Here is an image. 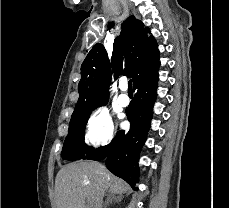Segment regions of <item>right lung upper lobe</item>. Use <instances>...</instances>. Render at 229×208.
<instances>
[{
    "label": "right lung upper lobe",
    "instance_id": "cb5924a9",
    "mask_svg": "<svg viewBox=\"0 0 229 208\" xmlns=\"http://www.w3.org/2000/svg\"><path fill=\"white\" fill-rule=\"evenodd\" d=\"M149 33V28L131 16L122 24V31L114 40L111 63L102 44L91 49L81 66L80 97L71 119L84 117L108 101L111 69L114 78L127 74L135 85L159 67L157 43Z\"/></svg>",
    "mask_w": 229,
    "mask_h": 208
}]
</instances>
